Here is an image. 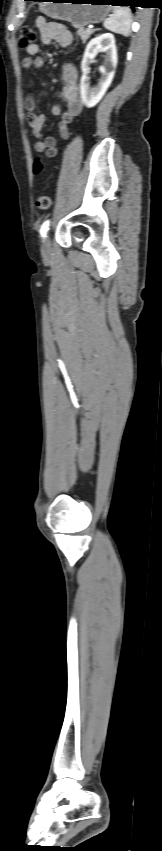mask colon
<instances>
[{
    "instance_id": "5ec220e1",
    "label": "colon",
    "mask_w": 162,
    "mask_h": 851,
    "mask_svg": "<svg viewBox=\"0 0 162 851\" xmlns=\"http://www.w3.org/2000/svg\"><path fill=\"white\" fill-rule=\"evenodd\" d=\"M37 41V32L33 27L24 26L20 31L19 46L21 48H29ZM43 170V164L40 159H36L33 165L34 174L38 175ZM37 205L43 210H47L51 206V200L46 195H40L37 199Z\"/></svg>"
}]
</instances>
